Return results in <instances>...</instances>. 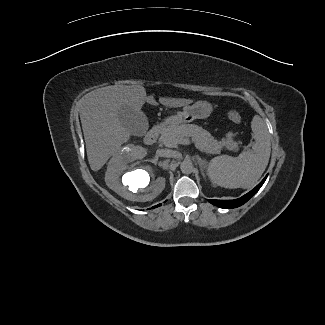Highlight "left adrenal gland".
<instances>
[{
	"mask_svg": "<svg viewBox=\"0 0 325 325\" xmlns=\"http://www.w3.org/2000/svg\"><path fill=\"white\" fill-rule=\"evenodd\" d=\"M196 160H197V162L199 164V167H200L203 178L206 179V175H205V172H204V170L206 168V163H207L206 160L202 159L198 155L196 156Z\"/></svg>",
	"mask_w": 325,
	"mask_h": 325,
	"instance_id": "obj_1",
	"label": "left adrenal gland"
}]
</instances>
